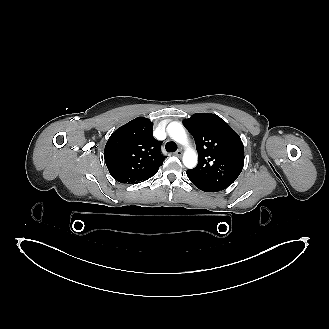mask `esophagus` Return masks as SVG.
Wrapping results in <instances>:
<instances>
[{
    "mask_svg": "<svg viewBox=\"0 0 329 329\" xmlns=\"http://www.w3.org/2000/svg\"><path fill=\"white\" fill-rule=\"evenodd\" d=\"M182 154H183L182 150H177V151L174 153V155H176V156H178V157L182 156Z\"/></svg>",
    "mask_w": 329,
    "mask_h": 329,
    "instance_id": "34e87169",
    "label": "esophagus"
}]
</instances>
